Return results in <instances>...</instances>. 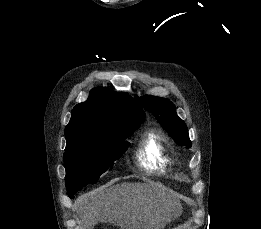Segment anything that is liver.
Instances as JSON below:
<instances>
[{
  "label": "liver",
  "instance_id": "liver-1",
  "mask_svg": "<svg viewBox=\"0 0 261 229\" xmlns=\"http://www.w3.org/2000/svg\"><path fill=\"white\" fill-rule=\"evenodd\" d=\"M122 187H125L126 191L125 193H128L130 195L131 199L133 201H128L130 207H132V223L133 225H142V219L144 215H141L143 211H146L147 219L151 217V213H149V205H146L147 201H150V199H147V197H144V191L146 187H142V185H122ZM127 201V199H126ZM76 203H78V211L84 215V213H87L88 217H93L92 213H95V215H102L103 219L105 217H111V219H114V215H116L114 211V207H118V205H114V203H120V199H111V201H105V199H102L101 195H92V197H88V195H82V197H79L77 199ZM125 211L122 209L121 213L119 215H116L115 219L119 221L120 223H127L126 217H124L123 213H126L127 209V203H124ZM157 213V211H155ZM158 219V217H156ZM150 221L152 223H159V221H155L153 217H151Z\"/></svg>",
  "mask_w": 261,
  "mask_h": 229
}]
</instances>
